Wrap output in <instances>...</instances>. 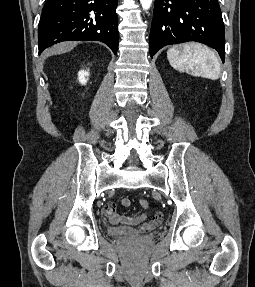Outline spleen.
<instances>
[{
    "label": "spleen",
    "instance_id": "obj_1",
    "mask_svg": "<svg viewBox=\"0 0 255 287\" xmlns=\"http://www.w3.org/2000/svg\"><path fill=\"white\" fill-rule=\"evenodd\" d=\"M167 58L172 68H189L192 72H199L201 78L218 80L220 76V62L214 52L202 44H178L167 52Z\"/></svg>",
    "mask_w": 255,
    "mask_h": 287
}]
</instances>
